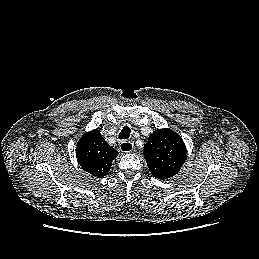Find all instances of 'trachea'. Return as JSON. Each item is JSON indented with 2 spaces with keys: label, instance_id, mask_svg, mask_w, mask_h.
Segmentation results:
<instances>
[{
  "label": "trachea",
  "instance_id": "1",
  "mask_svg": "<svg viewBox=\"0 0 259 259\" xmlns=\"http://www.w3.org/2000/svg\"><path fill=\"white\" fill-rule=\"evenodd\" d=\"M131 130L130 128L126 125L123 127V129L121 130L120 134H119V139H128L130 136Z\"/></svg>",
  "mask_w": 259,
  "mask_h": 259
}]
</instances>
